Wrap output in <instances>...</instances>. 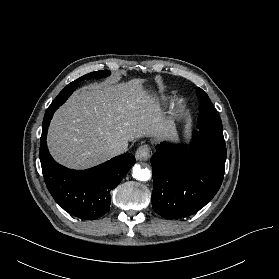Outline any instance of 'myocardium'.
<instances>
[{
	"instance_id": "obj_1",
	"label": "myocardium",
	"mask_w": 279,
	"mask_h": 279,
	"mask_svg": "<svg viewBox=\"0 0 279 279\" xmlns=\"http://www.w3.org/2000/svg\"><path fill=\"white\" fill-rule=\"evenodd\" d=\"M181 108H182V103H181V102H177V103L175 104V106H174V109H175L176 111L180 110Z\"/></svg>"
}]
</instances>
